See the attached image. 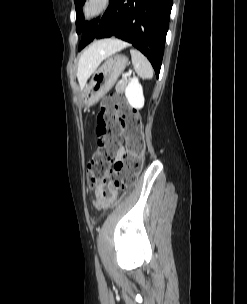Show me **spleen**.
Wrapping results in <instances>:
<instances>
[{"mask_svg":"<svg viewBox=\"0 0 247 304\" xmlns=\"http://www.w3.org/2000/svg\"><path fill=\"white\" fill-rule=\"evenodd\" d=\"M132 64L136 73L142 79H151L153 77V68L148 59L138 50L131 49Z\"/></svg>","mask_w":247,"mask_h":304,"instance_id":"spleen-1","label":"spleen"}]
</instances>
